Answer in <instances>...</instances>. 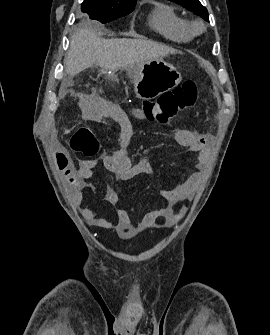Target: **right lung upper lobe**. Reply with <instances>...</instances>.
<instances>
[{
  "instance_id": "right-lung-upper-lobe-1",
  "label": "right lung upper lobe",
  "mask_w": 270,
  "mask_h": 335,
  "mask_svg": "<svg viewBox=\"0 0 270 335\" xmlns=\"http://www.w3.org/2000/svg\"><path fill=\"white\" fill-rule=\"evenodd\" d=\"M95 1L102 6H113V5L136 3L137 0H95Z\"/></svg>"
}]
</instances>
